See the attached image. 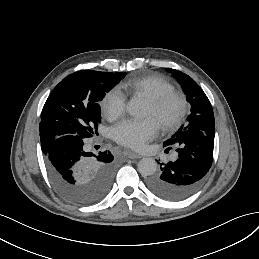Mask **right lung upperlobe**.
<instances>
[{
  "instance_id": "right-lung-upper-lobe-1",
  "label": "right lung upper lobe",
  "mask_w": 259,
  "mask_h": 259,
  "mask_svg": "<svg viewBox=\"0 0 259 259\" xmlns=\"http://www.w3.org/2000/svg\"><path fill=\"white\" fill-rule=\"evenodd\" d=\"M94 72H98V71H90V70H82V71H78L75 72L67 77H65L56 87L60 88V87H66V88H70L72 82L79 76H82L84 74H88V73H94ZM58 106L62 109H65V107L67 106V100L66 99H60L57 102ZM53 110L52 108H49L48 104H46L42 110V114H41V122L39 125V131H40V140H41V148L44 154H46V152L48 151L50 145L53 143L54 140L51 139H47L46 137H44V130L46 127L45 124V118L47 117V115L49 113H52Z\"/></svg>"
}]
</instances>
